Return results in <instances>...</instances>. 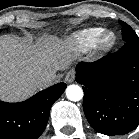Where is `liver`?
<instances>
[{
	"mask_svg": "<svg viewBox=\"0 0 139 139\" xmlns=\"http://www.w3.org/2000/svg\"><path fill=\"white\" fill-rule=\"evenodd\" d=\"M72 62L66 44L56 37H43L36 44L15 36L0 37V100L21 101L37 92V78L57 73Z\"/></svg>",
	"mask_w": 139,
	"mask_h": 139,
	"instance_id": "6515ba94",
	"label": "liver"
}]
</instances>
